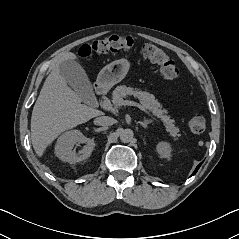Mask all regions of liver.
Returning a JSON list of instances; mask_svg holds the SVG:
<instances>
[{"label": "liver", "mask_w": 239, "mask_h": 239, "mask_svg": "<svg viewBox=\"0 0 239 239\" xmlns=\"http://www.w3.org/2000/svg\"><path fill=\"white\" fill-rule=\"evenodd\" d=\"M76 58L72 52L62 54L46 78L33 107L31 140L39 157L62 132L102 113L81 104V97L67 85L65 78L60 74L59 64Z\"/></svg>", "instance_id": "1"}]
</instances>
